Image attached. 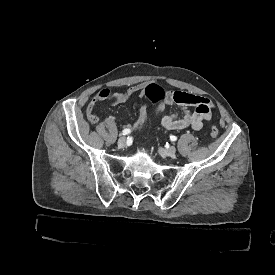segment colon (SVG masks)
<instances>
[{
    "mask_svg": "<svg viewBox=\"0 0 275 275\" xmlns=\"http://www.w3.org/2000/svg\"><path fill=\"white\" fill-rule=\"evenodd\" d=\"M145 97H146V102H143V110H141L139 112L138 118L140 120H143L139 128H135L133 127V125H131L132 130L134 131H138V132H142L143 131V126L146 122V118H148V114H149V109L153 108L154 103H155V98L162 100L165 97V94L163 92V87L161 84L156 83L154 85H149L146 87L145 89ZM92 109L89 108L87 110V114H88V119L90 120V122L94 123L97 121L96 116L92 113ZM218 128L216 126H212L211 130H210V134L212 138H216L218 136Z\"/></svg>",
    "mask_w": 275,
    "mask_h": 275,
    "instance_id": "1",
    "label": "colon"
}]
</instances>
